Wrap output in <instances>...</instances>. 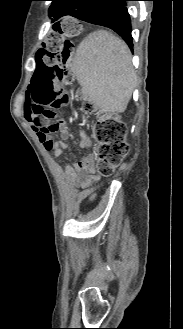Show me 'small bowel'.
Wrapping results in <instances>:
<instances>
[{
    "label": "small bowel",
    "mask_w": 183,
    "mask_h": 329,
    "mask_svg": "<svg viewBox=\"0 0 183 329\" xmlns=\"http://www.w3.org/2000/svg\"><path fill=\"white\" fill-rule=\"evenodd\" d=\"M24 118L29 122L32 129L34 130L38 140L44 146V148L48 151L53 152V156L55 158L61 156L66 149H68V144L65 140L61 141H53L49 138L48 133L41 132V128L44 125L43 118H40L33 114H24ZM61 128V132L64 135L65 130L63 127ZM48 132V131H47ZM48 141H51L52 144L50 147L46 145ZM91 145V141L89 138L84 137L80 142L81 148H87ZM95 156L93 154H89L84 156L83 158L76 161L73 165L67 166L65 168V172L68 176L72 177L78 186L84 190H86L85 196L89 198V200H93L95 195L90 193V189L95 187L98 182V174L95 168Z\"/></svg>",
    "instance_id": "small-bowel-1"
}]
</instances>
